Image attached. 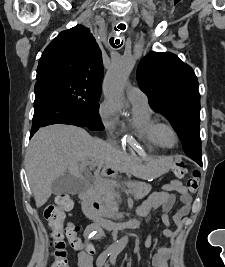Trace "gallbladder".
<instances>
[{
  "label": "gallbladder",
  "mask_w": 225,
  "mask_h": 267,
  "mask_svg": "<svg viewBox=\"0 0 225 267\" xmlns=\"http://www.w3.org/2000/svg\"><path fill=\"white\" fill-rule=\"evenodd\" d=\"M81 189L82 183L67 172L58 177L52 184V193L55 195L63 193H77Z\"/></svg>",
  "instance_id": "gallbladder-1"
}]
</instances>
